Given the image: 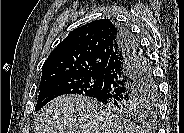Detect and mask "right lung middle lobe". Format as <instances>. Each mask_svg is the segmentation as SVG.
Segmentation results:
<instances>
[{
    "label": "right lung middle lobe",
    "instance_id": "obj_1",
    "mask_svg": "<svg viewBox=\"0 0 184 133\" xmlns=\"http://www.w3.org/2000/svg\"><path fill=\"white\" fill-rule=\"evenodd\" d=\"M103 74L64 77L55 79L40 87L38 102L35 110L41 109L52 99L64 94H82L95 97L103 86ZM158 106V92L152 79L146 99L135 104L105 105L108 111H114L131 116H154Z\"/></svg>",
    "mask_w": 184,
    "mask_h": 133
}]
</instances>
